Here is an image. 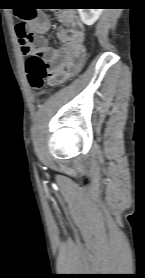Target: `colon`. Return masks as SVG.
I'll list each match as a JSON object with an SVG mask.
<instances>
[{"label":"colon","instance_id":"obj_1","mask_svg":"<svg viewBox=\"0 0 145 278\" xmlns=\"http://www.w3.org/2000/svg\"><path fill=\"white\" fill-rule=\"evenodd\" d=\"M21 17L24 20H30L34 17V14L31 10H24L21 12ZM17 34L19 37L20 44L24 52L30 53L31 48L34 44V37L28 31L24 24H19L17 27ZM76 69L72 67H66L62 73V75L57 79L53 80V85H62L69 78H71L75 73ZM26 74L27 79L30 86L33 89H40L47 78L50 76V70L48 65L46 64L44 58L35 53H31L26 60Z\"/></svg>","mask_w":145,"mask_h":278}]
</instances>
